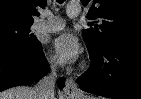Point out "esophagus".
<instances>
[{
    "label": "esophagus",
    "instance_id": "obj_1",
    "mask_svg": "<svg viewBox=\"0 0 141 99\" xmlns=\"http://www.w3.org/2000/svg\"><path fill=\"white\" fill-rule=\"evenodd\" d=\"M80 94V91L75 83V81L73 80V78H67L66 80V84L64 87V95L66 98H73L77 95Z\"/></svg>",
    "mask_w": 141,
    "mask_h": 99
}]
</instances>
